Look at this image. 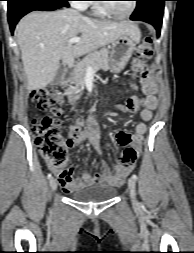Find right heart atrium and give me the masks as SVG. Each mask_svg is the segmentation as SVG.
<instances>
[{
  "mask_svg": "<svg viewBox=\"0 0 194 253\" xmlns=\"http://www.w3.org/2000/svg\"><path fill=\"white\" fill-rule=\"evenodd\" d=\"M87 0H74L73 5L78 9H83L87 5Z\"/></svg>",
  "mask_w": 194,
  "mask_h": 253,
  "instance_id": "right-heart-atrium-1",
  "label": "right heart atrium"
}]
</instances>
